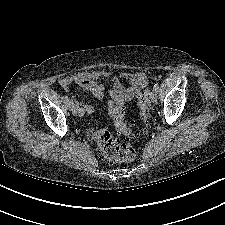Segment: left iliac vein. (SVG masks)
Returning <instances> with one entry per match:
<instances>
[{"mask_svg":"<svg viewBox=\"0 0 225 225\" xmlns=\"http://www.w3.org/2000/svg\"><path fill=\"white\" fill-rule=\"evenodd\" d=\"M150 99L153 103L157 102V91H155L154 89L151 91Z\"/></svg>","mask_w":225,"mask_h":225,"instance_id":"4c4485c4","label":"left iliac vein"}]
</instances>
